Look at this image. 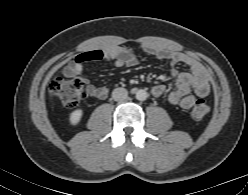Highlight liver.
I'll return each mask as SVG.
<instances>
[{"instance_id":"liver-1","label":"liver","mask_w":248,"mask_h":195,"mask_svg":"<svg viewBox=\"0 0 248 195\" xmlns=\"http://www.w3.org/2000/svg\"><path fill=\"white\" fill-rule=\"evenodd\" d=\"M49 94H50V96L52 97V90H49Z\"/></svg>"}]
</instances>
